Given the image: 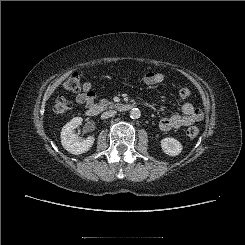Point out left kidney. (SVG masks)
Returning a JSON list of instances; mask_svg holds the SVG:
<instances>
[{
	"mask_svg": "<svg viewBox=\"0 0 245 245\" xmlns=\"http://www.w3.org/2000/svg\"><path fill=\"white\" fill-rule=\"evenodd\" d=\"M161 148L163 152L169 156H176L182 152L181 143L172 137H166L161 140Z\"/></svg>",
	"mask_w": 245,
	"mask_h": 245,
	"instance_id": "5707ae66",
	"label": "left kidney"
}]
</instances>
